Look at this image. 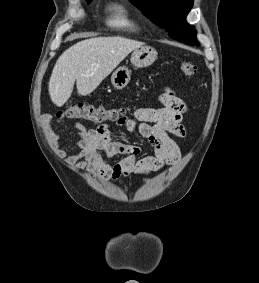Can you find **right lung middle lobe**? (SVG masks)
<instances>
[{
  "label": "right lung middle lobe",
  "mask_w": 259,
  "mask_h": 283,
  "mask_svg": "<svg viewBox=\"0 0 259 283\" xmlns=\"http://www.w3.org/2000/svg\"><path fill=\"white\" fill-rule=\"evenodd\" d=\"M91 1H92V0H87V2H89V3H90Z\"/></svg>",
  "instance_id": "1"
}]
</instances>
